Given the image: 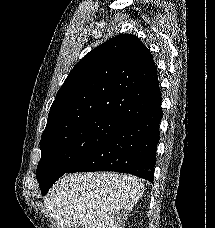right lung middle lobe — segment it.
<instances>
[{
    "label": "right lung middle lobe",
    "mask_w": 215,
    "mask_h": 228,
    "mask_svg": "<svg viewBox=\"0 0 215 228\" xmlns=\"http://www.w3.org/2000/svg\"><path fill=\"white\" fill-rule=\"evenodd\" d=\"M125 122L112 116H97L42 134V156L36 173L42 195Z\"/></svg>",
    "instance_id": "dd1d6c3e"
}]
</instances>
